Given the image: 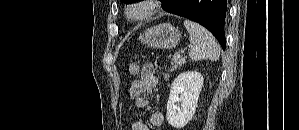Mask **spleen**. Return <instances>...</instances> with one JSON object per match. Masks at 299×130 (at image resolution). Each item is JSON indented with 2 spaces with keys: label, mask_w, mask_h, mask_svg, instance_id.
<instances>
[{
  "label": "spleen",
  "mask_w": 299,
  "mask_h": 130,
  "mask_svg": "<svg viewBox=\"0 0 299 130\" xmlns=\"http://www.w3.org/2000/svg\"><path fill=\"white\" fill-rule=\"evenodd\" d=\"M184 26L189 33L191 43L188 52L190 59L217 61L220 56V46L214 36L203 26L191 20H185Z\"/></svg>",
  "instance_id": "spleen-1"
}]
</instances>
